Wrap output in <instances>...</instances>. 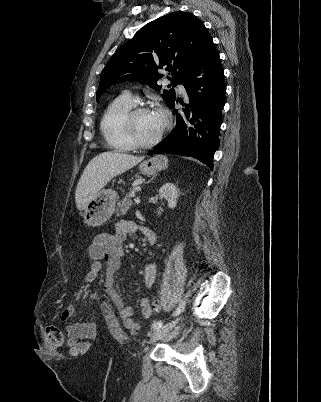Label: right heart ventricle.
Returning a JSON list of instances; mask_svg holds the SVG:
<instances>
[{"instance_id":"right-heart-ventricle-1","label":"right heart ventricle","mask_w":321,"mask_h":402,"mask_svg":"<svg viewBox=\"0 0 321 402\" xmlns=\"http://www.w3.org/2000/svg\"><path fill=\"white\" fill-rule=\"evenodd\" d=\"M135 104L117 97L105 109L100 121V130L106 145L120 152H128L134 147L127 140L123 131V117Z\"/></svg>"}]
</instances>
